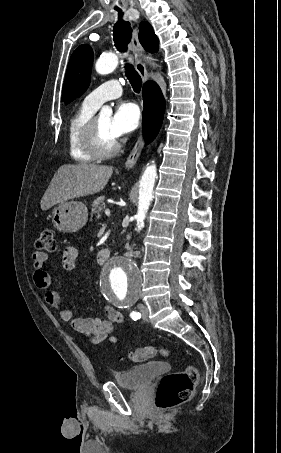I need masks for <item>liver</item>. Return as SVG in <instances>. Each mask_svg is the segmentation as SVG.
Masks as SVG:
<instances>
[{"mask_svg":"<svg viewBox=\"0 0 281 453\" xmlns=\"http://www.w3.org/2000/svg\"><path fill=\"white\" fill-rule=\"evenodd\" d=\"M112 172L113 166H105V164H90V162L62 164L41 198L42 210H48L54 204L66 202L70 198L100 192L107 184Z\"/></svg>","mask_w":281,"mask_h":453,"instance_id":"6515ba94","label":"liver"}]
</instances>
